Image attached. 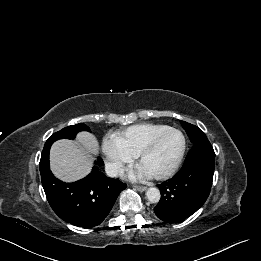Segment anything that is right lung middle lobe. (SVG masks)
Here are the masks:
<instances>
[{"label":"right lung middle lobe","instance_id":"dd1d6c3e","mask_svg":"<svg viewBox=\"0 0 261 261\" xmlns=\"http://www.w3.org/2000/svg\"><path fill=\"white\" fill-rule=\"evenodd\" d=\"M79 131H90L89 127L85 124L79 123L76 125L68 126L62 130L54 133L47 141L46 144H52L54 141L61 138L73 139Z\"/></svg>","mask_w":261,"mask_h":261}]
</instances>
